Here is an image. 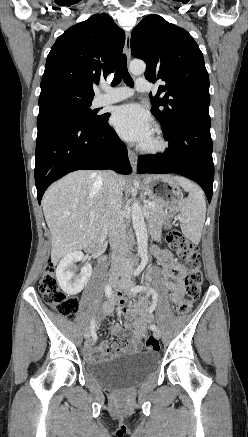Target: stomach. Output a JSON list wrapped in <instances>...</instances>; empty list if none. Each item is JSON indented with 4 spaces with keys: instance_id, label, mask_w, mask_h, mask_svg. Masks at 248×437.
I'll return each instance as SVG.
<instances>
[{
    "instance_id": "1",
    "label": "stomach",
    "mask_w": 248,
    "mask_h": 437,
    "mask_svg": "<svg viewBox=\"0 0 248 437\" xmlns=\"http://www.w3.org/2000/svg\"><path fill=\"white\" fill-rule=\"evenodd\" d=\"M143 187L150 199L167 210L168 218L176 216L182 196L172 177L163 174L144 176Z\"/></svg>"
}]
</instances>
